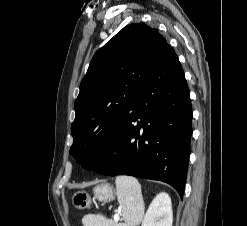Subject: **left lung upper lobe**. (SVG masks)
<instances>
[{"label":"left lung upper lobe","instance_id":"5c2ea615","mask_svg":"<svg viewBox=\"0 0 247 226\" xmlns=\"http://www.w3.org/2000/svg\"><path fill=\"white\" fill-rule=\"evenodd\" d=\"M167 42L143 23L127 25L93 56L75 100L70 154L89 160L116 135Z\"/></svg>","mask_w":247,"mask_h":226}]
</instances>
